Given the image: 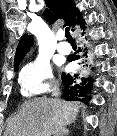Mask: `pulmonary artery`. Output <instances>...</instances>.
<instances>
[{
  "mask_svg": "<svg viewBox=\"0 0 117 136\" xmlns=\"http://www.w3.org/2000/svg\"><path fill=\"white\" fill-rule=\"evenodd\" d=\"M57 51L61 54H69L71 51V48L69 44H67L66 42H59L57 44Z\"/></svg>",
  "mask_w": 117,
  "mask_h": 136,
  "instance_id": "e3ab8cb5",
  "label": "pulmonary artery"
}]
</instances>
